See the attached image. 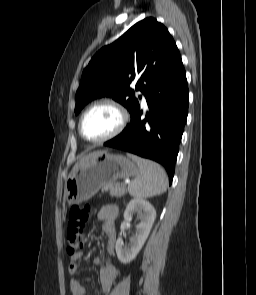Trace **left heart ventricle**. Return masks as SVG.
<instances>
[{
    "label": "left heart ventricle",
    "instance_id": "obj_1",
    "mask_svg": "<svg viewBox=\"0 0 256 295\" xmlns=\"http://www.w3.org/2000/svg\"><path fill=\"white\" fill-rule=\"evenodd\" d=\"M118 122L119 115L112 107L98 106L87 114L83 123V132L88 139H100L110 134Z\"/></svg>",
    "mask_w": 256,
    "mask_h": 295
}]
</instances>
